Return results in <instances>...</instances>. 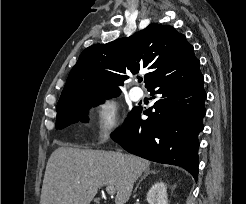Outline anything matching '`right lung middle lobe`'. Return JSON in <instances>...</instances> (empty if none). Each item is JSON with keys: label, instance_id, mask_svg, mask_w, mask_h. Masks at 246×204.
I'll use <instances>...</instances> for the list:
<instances>
[{"label": "right lung middle lobe", "instance_id": "dd1d6c3e", "mask_svg": "<svg viewBox=\"0 0 246 204\" xmlns=\"http://www.w3.org/2000/svg\"><path fill=\"white\" fill-rule=\"evenodd\" d=\"M119 94H88L60 100L57 104L56 129H62L78 121L86 122V112L91 106L103 103L104 98L116 97Z\"/></svg>", "mask_w": 246, "mask_h": 204}]
</instances>
